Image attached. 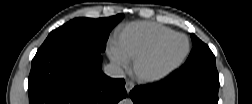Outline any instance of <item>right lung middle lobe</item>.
Wrapping results in <instances>:
<instances>
[{
  "mask_svg": "<svg viewBox=\"0 0 252 104\" xmlns=\"http://www.w3.org/2000/svg\"><path fill=\"white\" fill-rule=\"evenodd\" d=\"M123 17V14H118L99 19L75 18L52 31L36 54L65 46H78L99 53L104 52L109 32Z\"/></svg>",
  "mask_w": 252,
  "mask_h": 104,
  "instance_id": "right-lung-middle-lobe-1",
  "label": "right lung middle lobe"
}]
</instances>
